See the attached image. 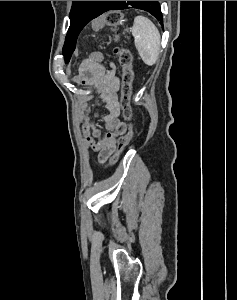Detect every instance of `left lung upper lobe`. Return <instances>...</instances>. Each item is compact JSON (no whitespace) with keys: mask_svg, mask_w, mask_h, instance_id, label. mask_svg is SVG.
<instances>
[{"mask_svg":"<svg viewBox=\"0 0 237 300\" xmlns=\"http://www.w3.org/2000/svg\"><path fill=\"white\" fill-rule=\"evenodd\" d=\"M109 1H73L69 14L70 27L63 46L65 62L68 63L76 48L77 38L82 29L94 18L102 14ZM121 10L137 8L152 14L161 24L163 17L157 1H120ZM162 14V13H161Z\"/></svg>","mask_w":237,"mask_h":300,"instance_id":"1","label":"left lung upper lobe"}]
</instances>
